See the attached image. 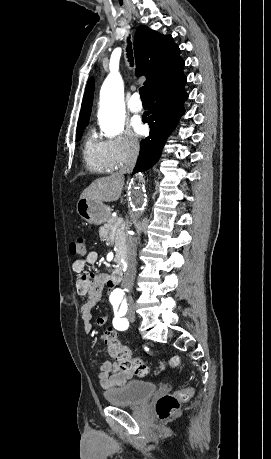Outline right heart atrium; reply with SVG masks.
Returning <instances> with one entry per match:
<instances>
[{"mask_svg": "<svg viewBox=\"0 0 271 459\" xmlns=\"http://www.w3.org/2000/svg\"><path fill=\"white\" fill-rule=\"evenodd\" d=\"M104 144L114 168L124 163L133 162L141 150L139 140L130 130L121 131L115 138L105 141Z\"/></svg>", "mask_w": 271, "mask_h": 459, "instance_id": "right-heart-atrium-1", "label": "right heart atrium"}]
</instances>
